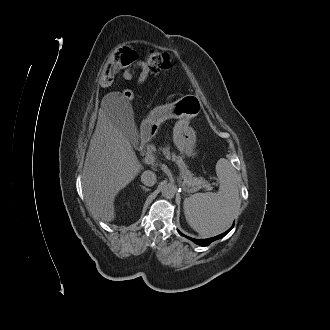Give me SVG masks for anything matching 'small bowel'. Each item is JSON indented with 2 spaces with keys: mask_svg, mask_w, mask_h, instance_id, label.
Instances as JSON below:
<instances>
[{
  "mask_svg": "<svg viewBox=\"0 0 330 330\" xmlns=\"http://www.w3.org/2000/svg\"><path fill=\"white\" fill-rule=\"evenodd\" d=\"M137 72V82L139 85H142L147 81L150 72L146 62L138 58L132 66L124 69V71L122 72V77L125 80H131L135 77Z\"/></svg>",
  "mask_w": 330,
  "mask_h": 330,
  "instance_id": "obj_1",
  "label": "small bowel"
}]
</instances>
